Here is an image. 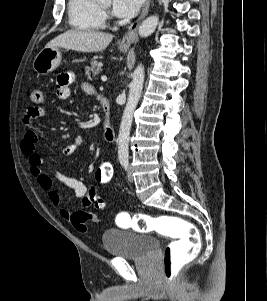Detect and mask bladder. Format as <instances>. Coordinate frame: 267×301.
Wrapping results in <instances>:
<instances>
[{
    "mask_svg": "<svg viewBox=\"0 0 267 301\" xmlns=\"http://www.w3.org/2000/svg\"><path fill=\"white\" fill-rule=\"evenodd\" d=\"M102 244L109 255L125 259H144L159 247L158 239L152 235L122 229L105 230Z\"/></svg>",
    "mask_w": 267,
    "mask_h": 301,
    "instance_id": "obj_1",
    "label": "bladder"
}]
</instances>
